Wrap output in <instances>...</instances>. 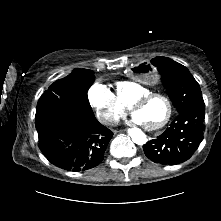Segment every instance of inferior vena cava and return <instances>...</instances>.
<instances>
[{
	"label": "inferior vena cava",
	"instance_id": "obj_1",
	"mask_svg": "<svg viewBox=\"0 0 221 221\" xmlns=\"http://www.w3.org/2000/svg\"><path fill=\"white\" fill-rule=\"evenodd\" d=\"M107 121L108 122H110V123H116V120L113 118V117H109L108 119H107Z\"/></svg>",
	"mask_w": 221,
	"mask_h": 221
}]
</instances>
